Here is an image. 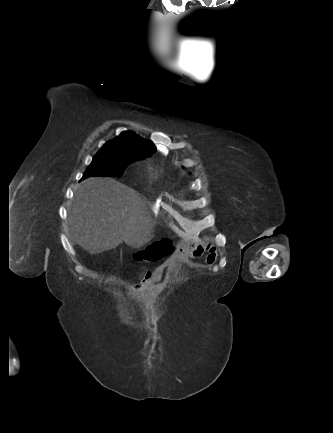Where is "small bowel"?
Returning <instances> with one entry per match:
<instances>
[{
    "label": "small bowel",
    "instance_id": "small-bowel-1",
    "mask_svg": "<svg viewBox=\"0 0 333 433\" xmlns=\"http://www.w3.org/2000/svg\"><path fill=\"white\" fill-rule=\"evenodd\" d=\"M174 252V250H173ZM203 257L208 265H213L217 259V249L212 244L183 246L181 253L179 254V260L182 264H187L189 261L196 258ZM157 280L153 272L148 271L143 276L140 284L136 287L137 290L147 289L151 296L156 300L158 298L157 293Z\"/></svg>",
    "mask_w": 333,
    "mask_h": 433
}]
</instances>
